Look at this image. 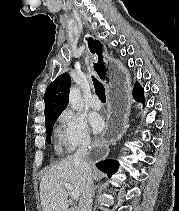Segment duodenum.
I'll return each instance as SVG.
<instances>
[{
	"mask_svg": "<svg viewBox=\"0 0 179 211\" xmlns=\"http://www.w3.org/2000/svg\"><path fill=\"white\" fill-rule=\"evenodd\" d=\"M70 211H76V210H74V209H71Z\"/></svg>",
	"mask_w": 179,
	"mask_h": 211,
	"instance_id": "1",
	"label": "duodenum"
}]
</instances>
